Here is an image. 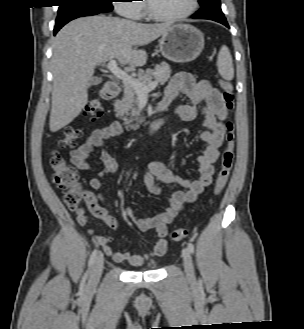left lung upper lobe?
<instances>
[{"label":"left lung upper lobe","instance_id":"5c2ea615","mask_svg":"<svg viewBox=\"0 0 304 329\" xmlns=\"http://www.w3.org/2000/svg\"><path fill=\"white\" fill-rule=\"evenodd\" d=\"M198 1H199L200 5H202L207 0H198Z\"/></svg>","mask_w":304,"mask_h":329}]
</instances>
